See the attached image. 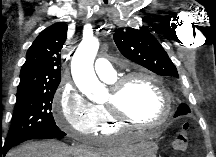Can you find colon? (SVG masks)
I'll return each instance as SVG.
<instances>
[{"instance_id": "1", "label": "colon", "mask_w": 216, "mask_h": 157, "mask_svg": "<svg viewBox=\"0 0 216 157\" xmlns=\"http://www.w3.org/2000/svg\"><path fill=\"white\" fill-rule=\"evenodd\" d=\"M190 143L189 124L184 122L177 130L174 138L173 148L179 153H184Z\"/></svg>"}]
</instances>
